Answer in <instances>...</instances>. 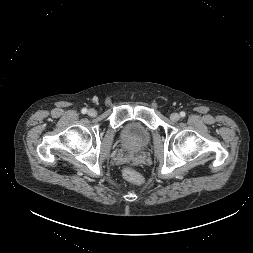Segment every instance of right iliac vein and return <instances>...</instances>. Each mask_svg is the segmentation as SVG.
I'll use <instances>...</instances> for the list:
<instances>
[{
    "mask_svg": "<svg viewBox=\"0 0 253 253\" xmlns=\"http://www.w3.org/2000/svg\"><path fill=\"white\" fill-rule=\"evenodd\" d=\"M87 114L91 117H95L97 115V111L95 109H89Z\"/></svg>",
    "mask_w": 253,
    "mask_h": 253,
    "instance_id": "right-iliac-vein-1",
    "label": "right iliac vein"
}]
</instances>
